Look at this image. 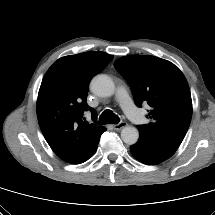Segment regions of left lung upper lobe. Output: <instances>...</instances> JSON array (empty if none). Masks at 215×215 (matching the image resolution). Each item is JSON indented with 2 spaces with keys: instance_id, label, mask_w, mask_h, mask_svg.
<instances>
[{
  "instance_id": "left-lung-upper-lobe-1",
  "label": "left lung upper lobe",
  "mask_w": 215,
  "mask_h": 215,
  "mask_svg": "<svg viewBox=\"0 0 215 215\" xmlns=\"http://www.w3.org/2000/svg\"><path fill=\"white\" fill-rule=\"evenodd\" d=\"M114 66L130 85L135 104L150 106L151 122L137 126L139 131L177 150L192 117L191 93L183 73L173 63L149 55L125 56Z\"/></svg>"
}]
</instances>
